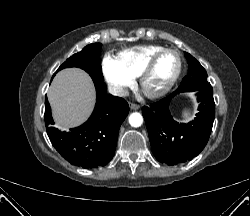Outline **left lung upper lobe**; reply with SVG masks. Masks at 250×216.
<instances>
[{
    "instance_id": "obj_1",
    "label": "left lung upper lobe",
    "mask_w": 250,
    "mask_h": 216,
    "mask_svg": "<svg viewBox=\"0 0 250 216\" xmlns=\"http://www.w3.org/2000/svg\"><path fill=\"white\" fill-rule=\"evenodd\" d=\"M184 54L187 58L189 70L188 74L183 78L180 86L176 91L178 93L198 89L212 91V86L207 81V73L205 69L189 53L185 52Z\"/></svg>"
}]
</instances>
